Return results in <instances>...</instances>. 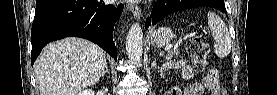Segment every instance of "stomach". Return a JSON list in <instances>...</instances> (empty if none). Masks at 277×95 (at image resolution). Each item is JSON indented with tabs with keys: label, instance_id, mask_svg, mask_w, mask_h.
<instances>
[{
	"label": "stomach",
	"instance_id": "stomach-1",
	"mask_svg": "<svg viewBox=\"0 0 277 95\" xmlns=\"http://www.w3.org/2000/svg\"><path fill=\"white\" fill-rule=\"evenodd\" d=\"M174 37V33L168 27H160L150 34V42L154 47L161 48L169 44Z\"/></svg>",
	"mask_w": 277,
	"mask_h": 95
}]
</instances>
